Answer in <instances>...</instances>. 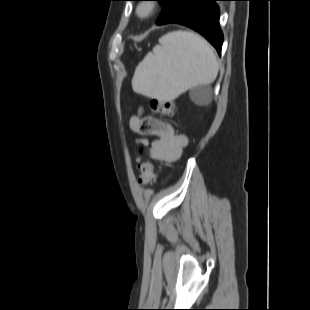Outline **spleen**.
Instances as JSON below:
<instances>
[{
	"label": "spleen",
	"instance_id": "1",
	"mask_svg": "<svg viewBox=\"0 0 310 310\" xmlns=\"http://www.w3.org/2000/svg\"><path fill=\"white\" fill-rule=\"evenodd\" d=\"M137 66L132 88L150 98L172 101L188 89L214 82L218 63L210 45L189 31H173L159 39Z\"/></svg>",
	"mask_w": 310,
	"mask_h": 310
}]
</instances>
